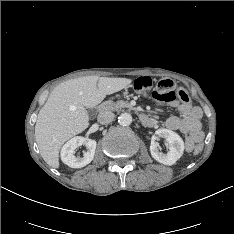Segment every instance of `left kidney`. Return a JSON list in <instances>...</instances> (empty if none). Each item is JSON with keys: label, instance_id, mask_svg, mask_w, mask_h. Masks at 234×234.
<instances>
[{"label": "left kidney", "instance_id": "obj_1", "mask_svg": "<svg viewBox=\"0 0 234 234\" xmlns=\"http://www.w3.org/2000/svg\"><path fill=\"white\" fill-rule=\"evenodd\" d=\"M159 138H164L169 144V151L166 154L158 150V143L156 141ZM150 152L156 161L164 165H173L183 155L184 142L174 131L161 128L156 130L155 135L152 136Z\"/></svg>", "mask_w": 234, "mask_h": 234}]
</instances>
